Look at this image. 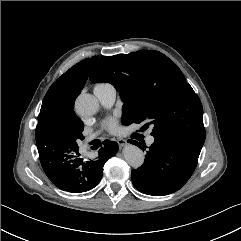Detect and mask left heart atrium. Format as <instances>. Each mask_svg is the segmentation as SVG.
Here are the masks:
<instances>
[{
	"instance_id": "obj_1",
	"label": "left heart atrium",
	"mask_w": 241,
	"mask_h": 241,
	"mask_svg": "<svg viewBox=\"0 0 241 241\" xmlns=\"http://www.w3.org/2000/svg\"><path fill=\"white\" fill-rule=\"evenodd\" d=\"M106 126L108 128L109 131L111 132H116L118 127H117V121L116 119L112 118V119H109L107 122H106Z\"/></svg>"
}]
</instances>
